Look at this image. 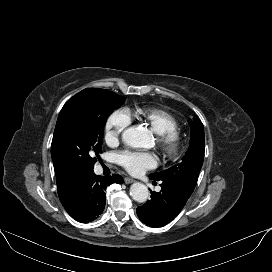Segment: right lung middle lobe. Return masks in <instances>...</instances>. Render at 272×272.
<instances>
[{"label": "right lung middle lobe", "instance_id": "obj_1", "mask_svg": "<svg viewBox=\"0 0 272 272\" xmlns=\"http://www.w3.org/2000/svg\"><path fill=\"white\" fill-rule=\"evenodd\" d=\"M109 90L88 88L63 106L54 130L51 155L66 163L73 176L93 172L102 152L107 117L125 102Z\"/></svg>", "mask_w": 272, "mask_h": 272}]
</instances>
